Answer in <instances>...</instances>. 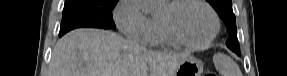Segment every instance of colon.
<instances>
[{
  "label": "colon",
  "mask_w": 287,
  "mask_h": 76,
  "mask_svg": "<svg viewBox=\"0 0 287 76\" xmlns=\"http://www.w3.org/2000/svg\"><path fill=\"white\" fill-rule=\"evenodd\" d=\"M206 76H215L214 73H207Z\"/></svg>",
  "instance_id": "5ec220e1"
}]
</instances>
